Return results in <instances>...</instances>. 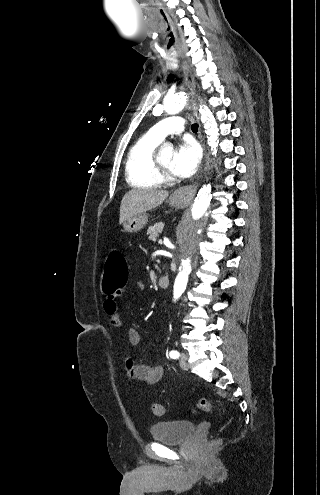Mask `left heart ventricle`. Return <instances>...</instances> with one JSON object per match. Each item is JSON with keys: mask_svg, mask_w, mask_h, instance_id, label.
<instances>
[{"mask_svg": "<svg viewBox=\"0 0 320 495\" xmlns=\"http://www.w3.org/2000/svg\"><path fill=\"white\" fill-rule=\"evenodd\" d=\"M174 157V151L171 149L163 150L160 152V159L165 167L171 170V164Z\"/></svg>", "mask_w": 320, "mask_h": 495, "instance_id": "1", "label": "left heart ventricle"}]
</instances>
